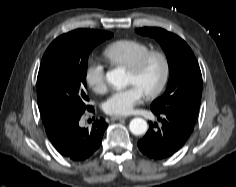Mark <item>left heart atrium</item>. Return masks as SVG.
<instances>
[{
  "instance_id": "1",
  "label": "left heart atrium",
  "mask_w": 236,
  "mask_h": 187,
  "mask_svg": "<svg viewBox=\"0 0 236 187\" xmlns=\"http://www.w3.org/2000/svg\"><path fill=\"white\" fill-rule=\"evenodd\" d=\"M143 92L136 85L113 92L104 102V111L113 116H125L132 112L143 97Z\"/></svg>"
}]
</instances>
